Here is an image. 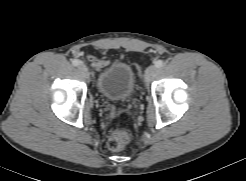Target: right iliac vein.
<instances>
[{
  "instance_id": "1",
  "label": "right iliac vein",
  "mask_w": 246,
  "mask_h": 181,
  "mask_svg": "<svg viewBox=\"0 0 246 181\" xmlns=\"http://www.w3.org/2000/svg\"><path fill=\"white\" fill-rule=\"evenodd\" d=\"M78 70H79L83 75H85V76L88 75V68H87L86 65L80 64V65L78 66Z\"/></svg>"
}]
</instances>
